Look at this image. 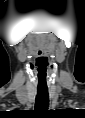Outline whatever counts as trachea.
I'll return each instance as SVG.
<instances>
[{
  "mask_svg": "<svg viewBox=\"0 0 85 118\" xmlns=\"http://www.w3.org/2000/svg\"><path fill=\"white\" fill-rule=\"evenodd\" d=\"M49 104V96L47 89H38L36 95L35 106L37 110H44Z\"/></svg>",
  "mask_w": 85,
  "mask_h": 118,
  "instance_id": "3493384b",
  "label": "trachea"
}]
</instances>
